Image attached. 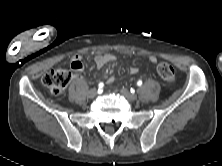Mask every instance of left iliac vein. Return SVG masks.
<instances>
[{"instance_id":"4c4485c4","label":"left iliac vein","mask_w":222,"mask_h":166,"mask_svg":"<svg viewBox=\"0 0 222 166\" xmlns=\"http://www.w3.org/2000/svg\"><path fill=\"white\" fill-rule=\"evenodd\" d=\"M121 94L129 101H135L137 99L136 95L125 88L121 89Z\"/></svg>"}]
</instances>
